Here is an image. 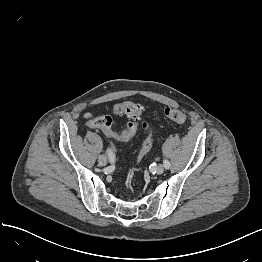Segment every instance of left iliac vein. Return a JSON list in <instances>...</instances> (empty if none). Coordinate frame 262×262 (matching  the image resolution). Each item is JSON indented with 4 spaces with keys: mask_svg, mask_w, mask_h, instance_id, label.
<instances>
[{
    "mask_svg": "<svg viewBox=\"0 0 262 262\" xmlns=\"http://www.w3.org/2000/svg\"><path fill=\"white\" fill-rule=\"evenodd\" d=\"M164 170H165L164 165H161V164H160V165H158L157 168H156V173L159 174V175H161V174H163Z\"/></svg>",
    "mask_w": 262,
    "mask_h": 262,
    "instance_id": "4c4485c4",
    "label": "left iliac vein"
}]
</instances>
